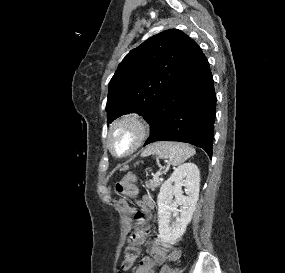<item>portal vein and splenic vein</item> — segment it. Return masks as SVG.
Masks as SVG:
<instances>
[{"instance_id": "18ae733b", "label": "portal vein and splenic vein", "mask_w": 285, "mask_h": 273, "mask_svg": "<svg viewBox=\"0 0 285 273\" xmlns=\"http://www.w3.org/2000/svg\"><path fill=\"white\" fill-rule=\"evenodd\" d=\"M161 175V172H157L155 175H154V179L157 180L159 179V176Z\"/></svg>"}]
</instances>
